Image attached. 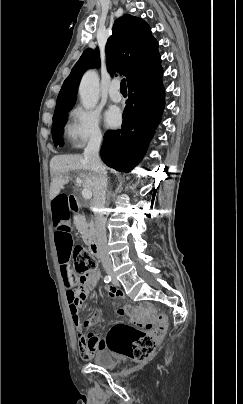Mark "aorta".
Segmentation results:
<instances>
[{
    "label": "aorta",
    "mask_w": 243,
    "mask_h": 404,
    "mask_svg": "<svg viewBox=\"0 0 243 404\" xmlns=\"http://www.w3.org/2000/svg\"><path fill=\"white\" fill-rule=\"evenodd\" d=\"M79 96L83 108L91 110L99 102V78L97 72L89 70L84 74L80 86Z\"/></svg>",
    "instance_id": "762f6f07"
}]
</instances>
